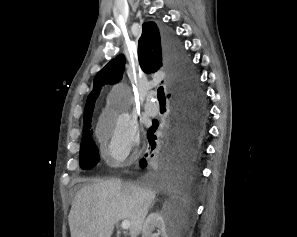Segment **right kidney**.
Listing matches in <instances>:
<instances>
[{
  "mask_svg": "<svg viewBox=\"0 0 297 237\" xmlns=\"http://www.w3.org/2000/svg\"><path fill=\"white\" fill-rule=\"evenodd\" d=\"M155 228L158 233H153ZM170 237L166 229V223L159 212L151 213L145 220L142 228V237Z\"/></svg>",
  "mask_w": 297,
  "mask_h": 237,
  "instance_id": "1",
  "label": "right kidney"
}]
</instances>
